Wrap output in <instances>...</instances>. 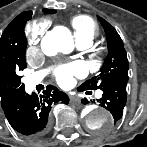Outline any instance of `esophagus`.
I'll return each mask as SVG.
<instances>
[{
  "label": "esophagus",
  "mask_w": 147,
  "mask_h": 147,
  "mask_svg": "<svg viewBox=\"0 0 147 147\" xmlns=\"http://www.w3.org/2000/svg\"><path fill=\"white\" fill-rule=\"evenodd\" d=\"M70 102L73 104H79L80 103V99L77 97H70Z\"/></svg>",
  "instance_id": "obj_1"
}]
</instances>
